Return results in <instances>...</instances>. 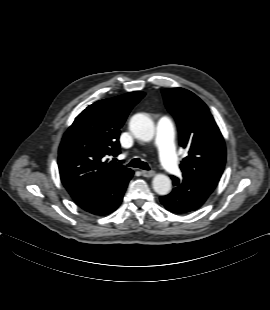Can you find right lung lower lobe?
<instances>
[{"label": "right lung lower lobe", "mask_w": 270, "mask_h": 310, "mask_svg": "<svg viewBox=\"0 0 270 310\" xmlns=\"http://www.w3.org/2000/svg\"><path fill=\"white\" fill-rule=\"evenodd\" d=\"M133 174L131 169L124 170L96 187L70 193V196L80 208L91 214H110L120 205Z\"/></svg>", "instance_id": "obj_1"}]
</instances>
